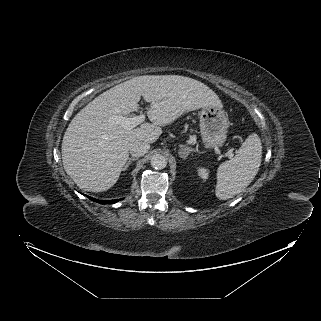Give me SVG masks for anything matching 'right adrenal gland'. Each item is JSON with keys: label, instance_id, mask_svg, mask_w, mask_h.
<instances>
[{"label": "right adrenal gland", "instance_id": "1", "mask_svg": "<svg viewBox=\"0 0 321 321\" xmlns=\"http://www.w3.org/2000/svg\"><path fill=\"white\" fill-rule=\"evenodd\" d=\"M137 160V158H130L128 160V162L125 164L124 168L122 169L123 171L127 170V168L129 167V165L132 163V161Z\"/></svg>", "mask_w": 321, "mask_h": 321}]
</instances>
